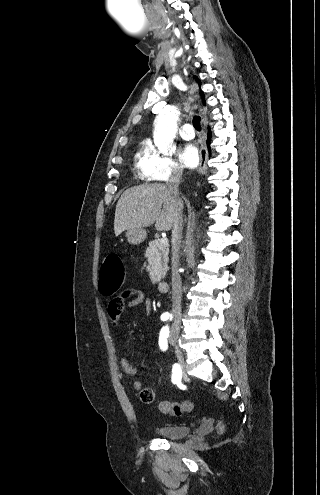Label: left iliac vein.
I'll return each mask as SVG.
<instances>
[{
  "label": "left iliac vein",
  "mask_w": 320,
  "mask_h": 495,
  "mask_svg": "<svg viewBox=\"0 0 320 495\" xmlns=\"http://www.w3.org/2000/svg\"><path fill=\"white\" fill-rule=\"evenodd\" d=\"M170 344L173 345V336L170 337Z\"/></svg>",
  "instance_id": "4c4485c4"
}]
</instances>
